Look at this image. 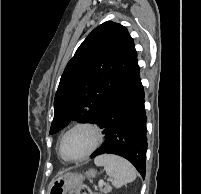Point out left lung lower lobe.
Instances as JSON below:
<instances>
[{
    "instance_id": "0a47b994",
    "label": "left lung lower lobe",
    "mask_w": 201,
    "mask_h": 194,
    "mask_svg": "<svg viewBox=\"0 0 201 194\" xmlns=\"http://www.w3.org/2000/svg\"><path fill=\"white\" fill-rule=\"evenodd\" d=\"M136 61L114 93L98 111L95 123L105 142L91 157L109 153L129 160L143 178L146 170V120L144 91Z\"/></svg>"
}]
</instances>
